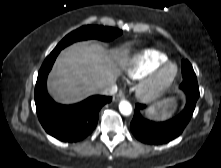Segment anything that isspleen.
<instances>
[{"instance_id": "3e777b00", "label": "spleen", "mask_w": 221, "mask_h": 168, "mask_svg": "<svg viewBox=\"0 0 221 168\" xmlns=\"http://www.w3.org/2000/svg\"><path fill=\"white\" fill-rule=\"evenodd\" d=\"M172 108H173V99H166L158 103L156 106L150 107L147 113L150 116L160 119H165L171 115Z\"/></svg>"}]
</instances>
